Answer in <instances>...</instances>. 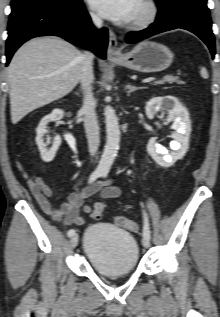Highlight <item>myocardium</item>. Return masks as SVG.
Instances as JSON below:
<instances>
[{
	"label": "myocardium",
	"mask_w": 220,
	"mask_h": 317,
	"mask_svg": "<svg viewBox=\"0 0 220 317\" xmlns=\"http://www.w3.org/2000/svg\"><path fill=\"white\" fill-rule=\"evenodd\" d=\"M143 12L132 19L128 27L131 29H143L152 25L159 16V6L155 0H140Z\"/></svg>",
	"instance_id": "myocardium-1"
}]
</instances>
